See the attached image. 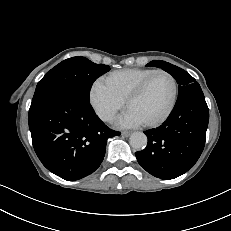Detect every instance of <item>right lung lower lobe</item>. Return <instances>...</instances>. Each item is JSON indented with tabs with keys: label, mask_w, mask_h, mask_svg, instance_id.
Here are the masks:
<instances>
[{
	"label": "right lung lower lobe",
	"mask_w": 231,
	"mask_h": 231,
	"mask_svg": "<svg viewBox=\"0 0 231 231\" xmlns=\"http://www.w3.org/2000/svg\"><path fill=\"white\" fill-rule=\"evenodd\" d=\"M29 129L42 164L69 181L93 173L103 161L108 138L121 134L99 119L89 99L68 90L31 106Z\"/></svg>",
	"instance_id": "obj_1"
}]
</instances>
